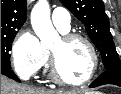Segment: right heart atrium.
Masks as SVG:
<instances>
[{"label":"right heart atrium","mask_w":121,"mask_h":94,"mask_svg":"<svg viewBox=\"0 0 121 94\" xmlns=\"http://www.w3.org/2000/svg\"><path fill=\"white\" fill-rule=\"evenodd\" d=\"M48 58V51L32 31L26 30L18 34L12 46L11 61L15 72L22 79L35 76Z\"/></svg>","instance_id":"1"}]
</instances>
